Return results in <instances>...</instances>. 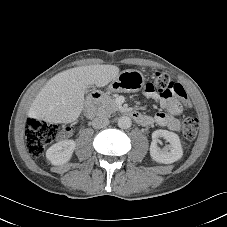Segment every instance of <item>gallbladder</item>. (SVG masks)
<instances>
[{
	"label": "gallbladder",
	"mask_w": 227,
	"mask_h": 227,
	"mask_svg": "<svg viewBox=\"0 0 227 227\" xmlns=\"http://www.w3.org/2000/svg\"><path fill=\"white\" fill-rule=\"evenodd\" d=\"M95 90V87L94 86H89L87 89H86V93L87 92H91V91H94Z\"/></svg>",
	"instance_id": "1"
}]
</instances>
